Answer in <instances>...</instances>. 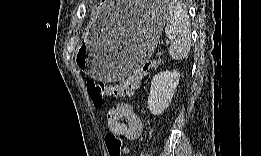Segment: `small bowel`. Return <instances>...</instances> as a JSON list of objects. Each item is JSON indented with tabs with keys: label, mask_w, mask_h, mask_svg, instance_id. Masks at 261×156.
<instances>
[{
	"label": "small bowel",
	"mask_w": 261,
	"mask_h": 156,
	"mask_svg": "<svg viewBox=\"0 0 261 156\" xmlns=\"http://www.w3.org/2000/svg\"><path fill=\"white\" fill-rule=\"evenodd\" d=\"M108 131L120 138L136 139L143 130L140 116L126 101H118L110 107L107 113ZM129 152L124 147L123 154Z\"/></svg>",
	"instance_id": "small-bowel-1"
}]
</instances>
